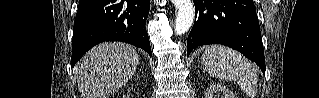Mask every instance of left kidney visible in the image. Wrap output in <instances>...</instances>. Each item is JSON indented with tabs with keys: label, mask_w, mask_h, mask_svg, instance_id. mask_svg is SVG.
<instances>
[{
	"label": "left kidney",
	"mask_w": 319,
	"mask_h": 98,
	"mask_svg": "<svg viewBox=\"0 0 319 98\" xmlns=\"http://www.w3.org/2000/svg\"><path fill=\"white\" fill-rule=\"evenodd\" d=\"M205 98H237L226 86L221 84H212L205 92Z\"/></svg>",
	"instance_id": "1"
}]
</instances>
